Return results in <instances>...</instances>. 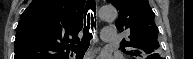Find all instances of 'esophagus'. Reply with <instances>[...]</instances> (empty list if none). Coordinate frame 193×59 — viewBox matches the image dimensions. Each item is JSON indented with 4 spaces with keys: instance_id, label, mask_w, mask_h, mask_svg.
Wrapping results in <instances>:
<instances>
[{
    "instance_id": "esophagus-1",
    "label": "esophagus",
    "mask_w": 193,
    "mask_h": 59,
    "mask_svg": "<svg viewBox=\"0 0 193 59\" xmlns=\"http://www.w3.org/2000/svg\"><path fill=\"white\" fill-rule=\"evenodd\" d=\"M95 2V5H96V7L98 6V1L96 0V1H94Z\"/></svg>"
}]
</instances>
